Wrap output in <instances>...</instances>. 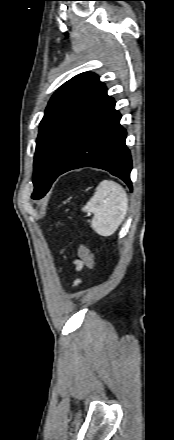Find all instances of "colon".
<instances>
[{
  "label": "colon",
  "instance_id": "5ec220e1",
  "mask_svg": "<svg viewBox=\"0 0 174 440\" xmlns=\"http://www.w3.org/2000/svg\"><path fill=\"white\" fill-rule=\"evenodd\" d=\"M78 256L86 267H88L93 271L97 270V264L94 259V256L84 243L78 244Z\"/></svg>",
  "mask_w": 174,
  "mask_h": 440
}]
</instances>
